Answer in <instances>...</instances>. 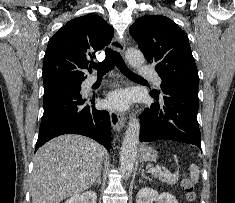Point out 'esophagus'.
I'll use <instances>...</instances> for the list:
<instances>
[{"label":"esophagus","instance_id":"esophagus-1","mask_svg":"<svg viewBox=\"0 0 235 203\" xmlns=\"http://www.w3.org/2000/svg\"><path fill=\"white\" fill-rule=\"evenodd\" d=\"M125 46H126L125 38H119L117 35H115L111 43L112 50L120 52V54L123 56L125 51ZM109 116L113 129L115 131H120L125 125V118L121 114L115 112L114 110L109 111Z\"/></svg>","mask_w":235,"mask_h":203}]
</instances>
